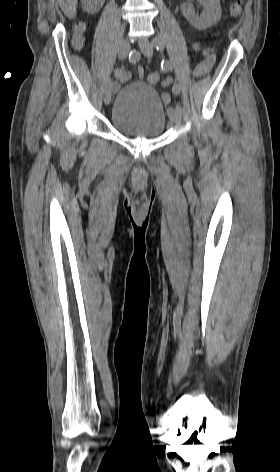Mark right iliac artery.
I'll use <instances>...</instances> for the list:
<instances>
[{
  "label": "right iliac artery",
  "mask_w": 280,
  "mask_h": 472,
  "mask_svg": "<svg viewBox=\"0 0 280 472\" xmlns=\"http://www.w3.org/2000/svg\"><path fill=\"white\" fill-rule=\"evenodd\" d=\"M140 58H141V55L136 50H132L129 54V62L132 64H135L136 62H138ZM114 76L119 80H126L128 78L127 73L121 69H115Z\"/></svg>",
  "instance_id": "right-iliac-artery-1"
}]
</instances>
